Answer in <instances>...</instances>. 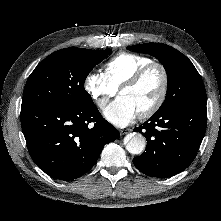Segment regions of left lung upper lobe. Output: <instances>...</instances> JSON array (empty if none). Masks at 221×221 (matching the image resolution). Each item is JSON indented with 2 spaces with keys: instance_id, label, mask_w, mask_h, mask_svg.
Segmentation results:
<instances>
[{
  "instance_id": "obj_1",
  "label": "left lung upper lobe",
  "mask_w": 221,
  "mask_h": 221,
  "mask_svg": "<svg viewBox=\"0 0 221 221\" xmlns=\"http://www.w3.org/2000/svg\"><path fill=\"white\" fill-rule=\"evenodd\" d=\"M127 49L150 54L163 64L168 78V92L159 110L171 106H206L202 78L192 62L181 52L162 43L138 44Z\"/></svg>"
}]
</instances>
